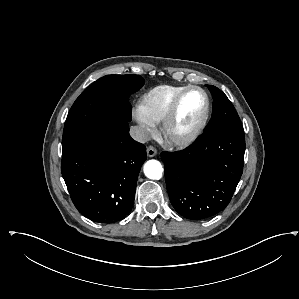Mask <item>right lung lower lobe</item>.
Segmentation results:
<instances>
[{
    "instance_id": "98d812e1",
    "label": "right lung lower lobe",
    "mask_w": 299,
    "mask_h": 299,
    "mask_svg": "<svg viewBox=\"0 0 299 299\" xmlns=\"http://www.w3.org/2000/svg\"><path fill=\"white\" fill-rule=\"evenodd\" d=\"M146 147L129 135L125 119L105 122L63 152L61 172L80 213L114 223L132 208Z\"/></svg>"
}]
</instances>
